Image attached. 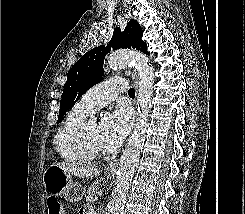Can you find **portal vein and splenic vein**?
I'll return each instance as SVG.
<instances>
[{"label": "portal vein and splenic vein", "mask_w": 245, "mask_h": 214, "mask_svg": "<svg viewBox=\"0 0 245 214\" xmlns=\"http://www.w3.org/2000/svg\"><path fill=\"white\" fill-rule=\"evenodd\" d=\"M101 195H102V191H99V192H98V196H101Z\"/></svg>", "instance_id": "obj_1"}]
</instances>
